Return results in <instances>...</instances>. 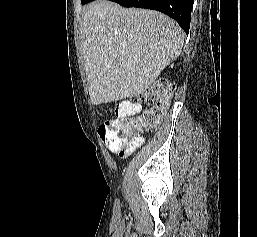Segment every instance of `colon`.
Segmentation results:
<instances>
[{"label":"colon","mask_w":257,"mask_h":237,"mask_svg":"<svg viewBox=\"0 0 257 237\" xmlns=\"http://www.w3.org/2000/svg\"><path fill=\"white\" fill-rule=\"evenodd\" d=\"M174 91V85L162 81L153 86L145 93V100L149 106L139 117L115 116L107 120L98 129L99 136L108 147L111 145L122 146L131 141L135 133L151 131L157 128Z\"/></svg>","instance_id":"1"}]
</instances>
